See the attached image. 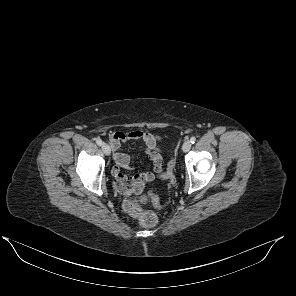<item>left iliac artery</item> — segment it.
<instances>
[{
    "label": "left iliac artery",
    "instance_id": "1",
    "mask_svg": "<svg viewBox=\"0 0 296 296\" xmlns=\"http://www.w3.org/2000/svg\"><path fill=\"white\" fill-rule=\"evenodd\" d=\"M190 142H191L192 144H194V143L196 142V138H195V137H191V138H190Z\"/></svg>",
    "mask_w": 296,
    "mask_h": 296
}]
</instances>
